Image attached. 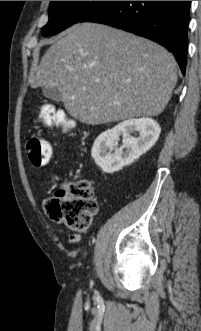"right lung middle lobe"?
Wrapping results in <instances>:
<instances>
[{"label": "right lung middle lobe", "instance_id": "1", "mask_svg": "<svg viewBox=\"0 0 201 331\" xmlns=\"http://www.w3.org/2000/svg\"><path fill=\"white\" fill-rule=\"evenodd\" d=\"M106 1H50L49 21L42 35H53L79 22Z\"/></svg>", "mask_w": 201, "mask_h": 331}]
</instances>
